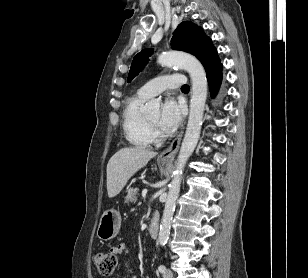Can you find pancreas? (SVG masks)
<instances>
[{
  "mask_svg": "<svg viewBox=\"0 0 308 278\" xmlns=\"http://www.w3.org/2000/svg\"><path fill=\"white\" fill-rule=\"evenodd\" d=\"M138 191H139L138 188H133V187L127 189V195L125 197V202L126 203L136 202Z\"/></svg>",
  "mask_w": 308,
  "mask_h": 278,
  "instance_id": "1",
  "label": "pancreas"
}]
</instances>
